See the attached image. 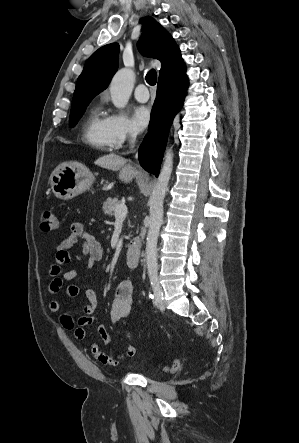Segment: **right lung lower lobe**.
<instances>
[{
	"label": "right lung lower lobe",
	"instance_id": "98d812e1",
	"mask_svg": "<svg viewBox=\"0 0 299 443\" xmlns=\"http://www.w3.org/2000/svg\"><path fill=\"white\" fill-rule=\"evenodd\" d=\"M185 72L174 77L159 78L148 134L139 149L140 164L156 177L160 171L171 123L182 107L188 88V78Z\"/></svg>",
	"mask_w": 299,
	"mask_h": 443
}]
</instances>
